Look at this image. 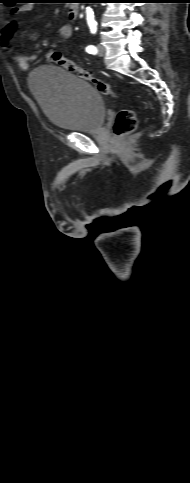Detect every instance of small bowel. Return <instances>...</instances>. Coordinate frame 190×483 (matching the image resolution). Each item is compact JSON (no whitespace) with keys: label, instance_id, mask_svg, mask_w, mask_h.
<instances>
[{"label":"small bowel","instance_id":"1","mask_svg":"<svg viewBox=\"0 0 190 483\" xmlns=\"http://www.w3.org/2000/svg\"><path fill=\"white\" fill-rule=\"evenodd\" d=\"M30 9L29 5L21 6L13 11L14 15ZM17 23L14 19L6 22L0 31V44L7 50L12 60L18 65L21 70H27L30 66V62L36 58L35 55L22 56L16 54L9 46L10 41L16 31ZM72 26L70 24H64L58 29V37L62 40L69 39L72 36Z\"/></svg>","mask_w":190,"mask_h":483}]
</instances>
